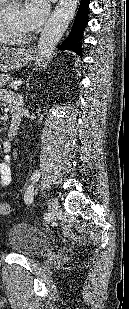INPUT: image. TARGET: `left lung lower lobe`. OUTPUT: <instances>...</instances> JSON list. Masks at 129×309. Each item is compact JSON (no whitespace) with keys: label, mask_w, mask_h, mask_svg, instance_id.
<instances>
[{"label":"left lung lower lobe","mask_w":129,"mask_h":309,"mask_svg":"<svg viewBox=\"0 0 129 309\" xmlns=\"http://www.w3.org/2000/svg\"><path fill=\"white\" fill-rule=\"evenodd\" d=\"M87 8H88V0H81L78 12L76 14V18L70 33V37L68 40L60 47L62 50H72L74 52L80 53L78 44L76 41V38L80 32V29L82 27V24L84 23L86 19L87 14Z\"/></svg>","instance_id":"left-lung-lower-lobe-1"}]
</instances>
